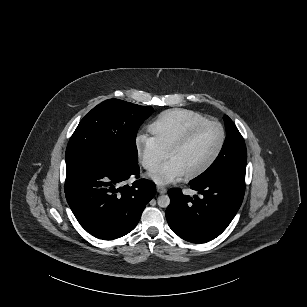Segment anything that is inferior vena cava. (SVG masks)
<instances>
[{
	"mask_svg": "<svg viewBox=\"0 0 307 307\" xmlns=\"http://www.w3.org/2000/svg\"><path fill=\"white\" fill-rule=\"evenodd\" d=\"M142 166H143L145 169L149 170V169L153 168L154 164L149 163V162H147V161H143V162H142Z\"/></svg>",
	"mask_w": 307,
	"mask_h": 307,
	"instance_id": "1",
	"label": "inferior vena cava"
}]
</instances>
